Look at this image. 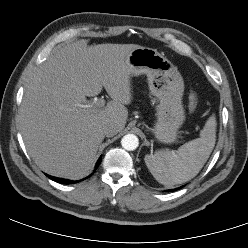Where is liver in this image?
Here are the masks:
<instances>
[{
    "mask_svg": "<svg viewBox=\"0 0 248 248\" xmlns=\"http://www.w3.org/2000/svg\"><path fill=\"white\" fill-rule=\"evenodd\" d=\"M136 44H98L85 40L56 49L34 71L20 110V130L28 154L44 172L81 179L92 168L103 126L122 131L132 101V68L128 58ZM105 88L112 98L104 109L80 108L86 97Z\"/></svg>",
    "mask_w": 248,
    "mask_h": 248,
    "instance_id": "liver-1",
    "label": "liver"
}]
</instances>
